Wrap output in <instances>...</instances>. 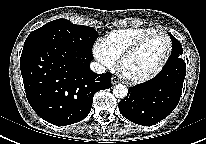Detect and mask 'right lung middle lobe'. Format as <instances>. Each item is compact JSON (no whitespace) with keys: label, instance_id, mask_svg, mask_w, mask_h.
<instances>
[{"label":"right lung middle lobe","instance_id":"1","mask_svg":"<svg viewBox=\"0 0 206 144\" xmlns=\"http://www.w3.org/2000/svg\"><path fill=\"white\" fill-rule=\"evenodd\" d=\"M97 37V31L92 27L76 25L66 19H56L32 31L24 46L49 43L92 54V47Z\"/></svg>","mask_w":206,"mask_h":144}]
</instances>
